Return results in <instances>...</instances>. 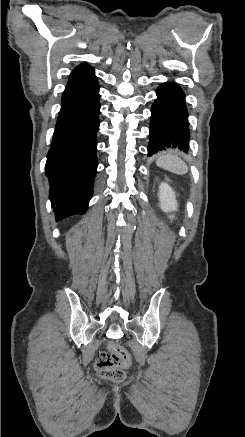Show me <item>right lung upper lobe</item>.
<instances>
[{"instance_id":"obj_1","label":"right lung upper lobe","mask_w":245,"mask_h":437,"mask_svg":"<svg viewBox=\"0 0 245 437\" xmlns=\"http://www.w3.org/2000/svg\"><path fill=\"white\" fill-rule=\"evenodd\" d=\"M97 82L94 69L87 63L77 66L70 76L65 91L80 89Z\"/></svg>"}]
</instances>
